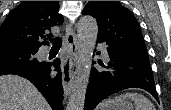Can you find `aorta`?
<instances>
[{
  "instance_id": "1",
  "label": "aorta",
  "mask_w": 171,
  "mask_h": 110,
  "mask_svg": "<svg viewBox=\"0 0 171 110\" xmlns=\"http://www.w3.org/2000/svg\"><path fill=\"white\" fill-rule=\"evenodd\" d=\"M97 34L98 25L95 18L83 16L79 19L77 35L80 44V65L66 110L84 109Z\"/></svg>"
}]
</instances>
